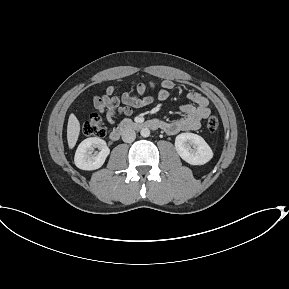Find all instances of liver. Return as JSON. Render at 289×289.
I'll return each instance as SVG.
<instances>
[{
    "label": "liver",
    "instance_id": "liver-1",
    "mask_svg": "<svg viewBox=\"0 0 289 289\" xmlns=\"http://www.w3.org/2000/svg\"><path fill=\"white\" fill-rule=\"evenodd\" d=\"M79 133H80V123L77 117L73 113H71L67 124V141L70 149H72L75 146L79 137Z\"/></svg>",
    "mask_w": 289,
    "mask_h": 289
}]
</instances>
